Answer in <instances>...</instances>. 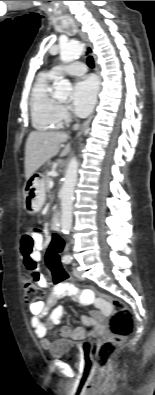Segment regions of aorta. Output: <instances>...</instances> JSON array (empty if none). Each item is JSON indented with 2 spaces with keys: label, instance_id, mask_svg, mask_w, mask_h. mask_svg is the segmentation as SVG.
Here are the masks:
<instances>
[{
  "label": "aorta",
  "instance_id": "obj_1",
  "mask_svg": "<svg viewBox=\"0 0 155 395\" xmlns=\"http://www.w3.org/2000/svg\"><path fill=\"white\" fill-rule=\"evenodd\" d=\"M83 52V45L80 42L64 43L60 47V59L64 63H69L77 59ZM72 90L71 82L68 79H62L55 83L54 98L66 100ZM78 160L73 157L67 167L66 175L62 188L60 190L61 199V228L65 234H68L72 227V208L74 199V189L78 177Z\"/></svg>",
  "mask_w": 155,
  "mask_h": 395
}]
</instances>
